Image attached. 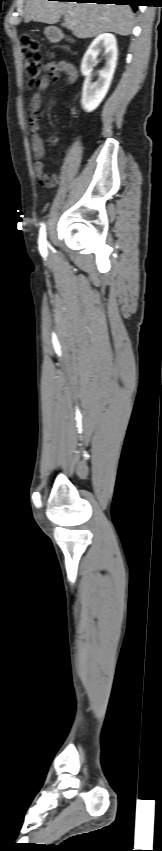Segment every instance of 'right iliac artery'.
<instances>
[{"label":"right iliac artery","mask_w":162,"mask_h":851,"mask_svg":"<svg viewBox=\"0 0 162 851\" xmlns=\"http://www.w3.org/2000/svg\"><path fill=\"white\" fill-rule=\"evenodd\" d=\"M39 250H40V253H41L42 256L45 257L47 255L46 229H45L44 224L42 225V227L40 229V234H39Z\"/></svg>","instance_id":"82829eb1"}]
</instances>
